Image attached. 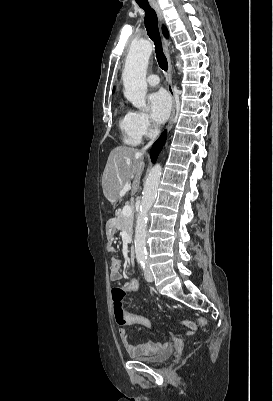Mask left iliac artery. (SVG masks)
<instances>
[{"label":"left iliac artery","mask_w":273,"mask_h":401,"mask_svg":"<svg viewBox=\"0 0 273 401\" xmlns=\"http://www.w3.org/2000/svg\"><path fill=\"white\" fill-rule=\"evenodd\" d=\"M142 267L145 268V259H143Z\"/></svg>","instance_id":"1"}]
</instances>
